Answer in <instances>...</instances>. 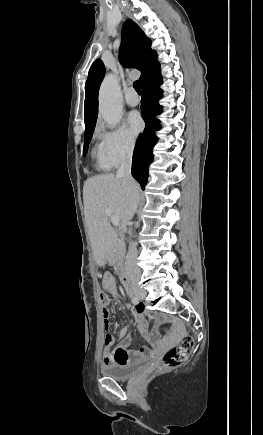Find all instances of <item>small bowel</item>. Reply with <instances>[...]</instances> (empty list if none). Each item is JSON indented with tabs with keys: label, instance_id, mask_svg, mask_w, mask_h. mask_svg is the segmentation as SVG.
<instances>
[{
	"label": "small bowel",
	"instance_id": "c3829d8e",
	"mask_svg": "<svg viewBox=\"0 0 263 435\" xmlns=\"http://www.w3.org/2000/svg\"><path fill=\"white\" fill-rule=\"evenodd\" d=\"M103 288L108 292L110 296H115L116 282L115 278L111 273H105L102 280ZM110 302V298L106 295V298L102 303L104 304L103 308V322L106 330L110 328V312L106 307ZM147 315V317L145 316ZM135 318L138 324L145 325L147 323V318L163 320V317L159 314L147 313L142 304H139L135 307ZM141 337L154 345L153 349L148 347H142L138 350L129 351L127 347L131 342V335L129 334L126 327H123L119 331L120 342L116 346L114 350H103V363L105 366L118 364H130L137 361H140L146 357H155L158 356L165 348L170 345H173L177 339L178 334L172 333L169 336L161 338L157 331H152L150 333H142Z\"/></svg>",
	"mask_w": 263,
	"mask_h": 435
}]
</instances>
